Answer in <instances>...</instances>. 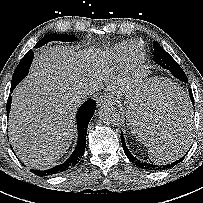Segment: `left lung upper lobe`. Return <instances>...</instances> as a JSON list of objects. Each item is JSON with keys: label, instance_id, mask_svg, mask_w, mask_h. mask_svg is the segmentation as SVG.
<instances>
[{"label": "left lung upper lobe", "instance_id": "1", "mask_svg": "<svg viewBox=\"0 0 203 203\" xmlns=\"http://www.w3.org/2000/svg\"><path fill=\"white\" fill-rule=\"evenodd\" d=\"M153 46H154V57L157 54H161L163 52H166L157 42H153ZM184 72V71H183Z\"/></svg>", "mask_w": 203, "mask_h": 203}]
</instances>
